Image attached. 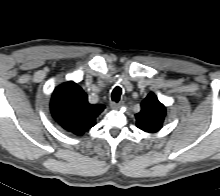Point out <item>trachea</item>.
<instances>
[{
  "label": "trachea",
  "instance_id": "3493384b",
  "mask_svg": "<svg viewBox=\"0 0 220 196\" xmlns=\"http://www.w3.org/2000/svg\"><path fill=\"white\" fill-rule=\"evenodd\" d=\"M121 94H122V89L119 86L115 87L111 94L112 101L118 103L120 100Z\"/></svg>",
  "mask_w": 220,
  "mask_h": 196
}]
</instances>
